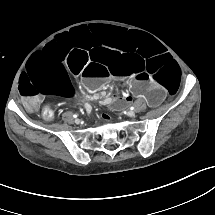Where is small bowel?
Masks as SVG:
<instances>
[{
    "mask_svg": "<svg viewBox=\"0 0 215 215\" xmlns=\"http://www.w3.org/2000/svg\"><path fill=\"white\" fill-rule=\"evenodd\" d=\"M114 100L115 101H120L119 105L120 106H124L126 104L127 101H129L130 99L127 98V99H119L118 96H114ZM40 102V97H34L32 98L29 103H28V108L30 110H35L37 108V105L39 104Z\"/></svg>",
    "mask_w": 215,
    "mask_h": 215,
    "instance_id": "obj_1",
    "label": "small bowel"
}]
</instances>
